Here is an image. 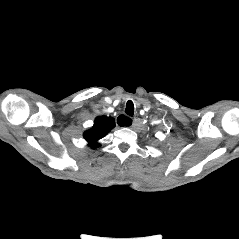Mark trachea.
<instances>
[{
  "label": "trachea",
  "instance_id": "1",
  "mask_svg": "<svg viewBox=\"0 0 239 239\" xmlns=\"http://www.w3.org/2000/svg\"><path fill=\"white\" fill-rule=\"evenodd\" d=\"M125 113L129 116H133L134 114V104L132 101H128L127 104H126V109H125Z\"/></svg>",
  "mask_w": 239,
  "mask_h": 239
}]
</instances>
